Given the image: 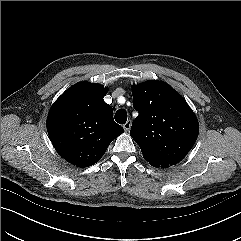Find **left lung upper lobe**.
Masks as SVG:
<instances>
[{"label": "left lung upper lobe", "mask_w": 241, "mask_h": 241, "mask_svg": "<svg viewBox=\"0 0 241 241\" xmlns=\"http://www.w3.org/2000/svg\"><path fill=\"white\" fill-rule=\"evenodd\" d=\"M139 116L130 135L143 157L158 165H175L193 147L198 121L186 100L168 84L149 80L132 88Z\"/></svg>", "instance_id": "left-lung-upper-lobe-1"}]
</instances>
